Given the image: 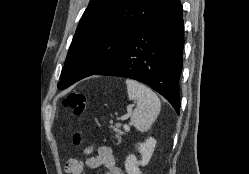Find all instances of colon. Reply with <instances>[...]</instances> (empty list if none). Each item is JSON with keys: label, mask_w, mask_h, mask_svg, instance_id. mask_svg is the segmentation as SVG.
<instances>
[{"label": "colon", "mask_w": 249, "mask_h": 174, "mask_svg": "<svg viewBox=\"0 0 249 174\" xmlns=\"http://www.w3.org/2000/svg\"><path fill=\"white\" fill-rule=\"evenodd\" d=\"M65 107L73 111L74 116L77 118V124L81 125V119L86 110V96L79 91L70 92L63 100ZM73 142L75 145H80L82 142V134L77 131L74 134Z\"/></svg>", "instance_id": "obj_1"}]
</instances>
